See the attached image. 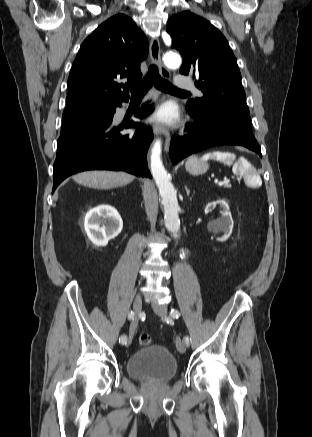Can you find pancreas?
I'll use <instances>...</instances> for the list:
<instances>
[{
  "label": "pancreas",
  "instance_id": "cf45deb5",
  "mask_svg": "<svg viewBox=\"0 0 312 437\" xmlns=\"http://www.w3.org/2000/svg\"><path fill=\"white\" fill-rule=\"evenodd\" d=\"M224 187H225V188H231V184L226 183V184L224 185Z\"/></svg>",
  "mask_w": 312,
  "mask_h": 437
}]
</instances>
